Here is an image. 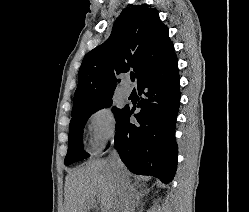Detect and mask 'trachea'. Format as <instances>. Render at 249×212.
I'll list each match as a JSON object with an SVG mask.
<instances>
[{"instance_id":"trachea-1","label":"trachea","mask_w":249,"mask_h":212,"mask_svg":"<svg viewBox=\"0 0 249 212\" xmlns=\"http://www.w3.org/2000/svg\"><path fill=\"white\" fill-rule=\"evenodd\" d=\"M130 78H131L132 81H134L135 80V74H130Z\"/></svg>"}]
</instances>
